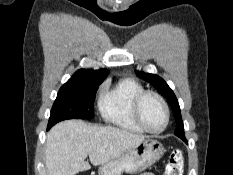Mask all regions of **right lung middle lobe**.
Masks as SVG:
<instances>
[{
    "instance_id": "dd1d6c3e",
    "label": "right lung middle lobe",
    "mask_w": 233,
    "mask_h": 175,
    "mask_svg": "<svg viewBox=\"0 0 233 175\" xmlns=\"http://www.w3.org/2000/svg\"><path fill=\"white\" fill-rule=\"evenodd\" d=\"M102 82L103 80H88L64 84L53 104L47 129L66 119L94 118L93 104Z\"/></svg>"
}]
</instances>
